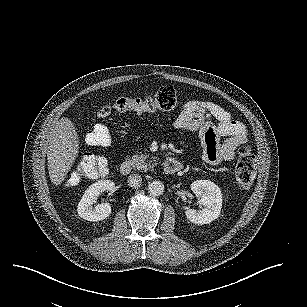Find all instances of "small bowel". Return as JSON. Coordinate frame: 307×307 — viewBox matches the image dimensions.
Wrapping results in <instances>:
<instances>
[{
  "mask_svg": "<svg viewBox=\"0 0 307 307\" xmlns=\"http://www.w3.org/2000/svg\"><path fill=\"white\" fill-rule=\"evenodd\" d=\"M174 125L198 133L203 159L212 165L233 160L236 148L248 141L244 124L211 101L186 102ZM222 137L226 139L221 141Z\"/></svg>",
  "mask_w": 307,
  "mask_h": 307,
  "instance_id": "small-bowel-1",
  "label": "small bowel"
}]
</instances>
